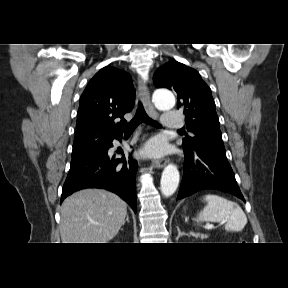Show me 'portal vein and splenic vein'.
<instances>
[{
    "label": "portal vein and splenic vein",
    "instance_id": "portal-vein-and-splenic-vein-1",
    "mask_svg": "<svg viewBox=\"0 0 288 288\" xmlns=\"http://www.w3.org/2000/svg\"><path fill=\"white\" fill-rule=\"evenodd\" d=\"M213 227H214V225H213V224H210V223H207V224L204 226L205 229H212Z\"/></svg>",
    "mask_w": 288,
    "mask_h": 288
}]
</instances>
